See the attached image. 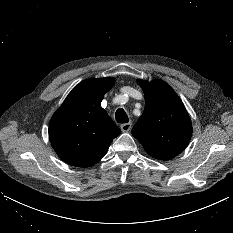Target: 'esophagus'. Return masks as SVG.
<instances>
[{"label": "esophagus", "mask_w": 233, "mask_h": 233, "mask_svg": "<svg viewBox=\"0 0 233 233\" xmlns=\"http://www.w3.org/2000/svg\"><path fill=\"white\" fill-rule=\"evenodd\" d=\"M131 127H132V123L131 122L125 123V124L121 125V130L123 132H128V131H130Z\"/></svg>", "instance_id": "1"}]
</instances>
